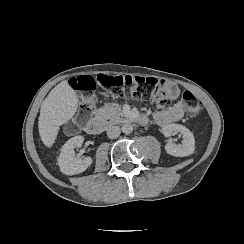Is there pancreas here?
Here are the masks:
<instances>
[{"instance_id":"obj_1","label":"pancreas","mask_w":244,"mask_h":244,"mask_svg":"<svg viewBox=\"0 0 244 244\" xmlns=\"http://www.w3.org/2000/svg\"><path fill=\"white\" fill-rule=\"evenodd\" d=\"M124 113L119 104H106L96 111L95 119L110 120L115 124L123 122Z\"/></svg>"}]
</instances>
